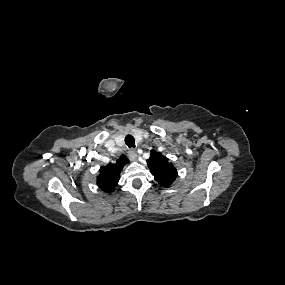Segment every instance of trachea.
<instances>
[{"label":"trachea","mask_w":285,"mask_h":285,"mask_svg":"<svg viewBox=\"0 0 285 285\" xmlns=\"http://www.w3.org/2000/svg\"><path fill=\"white\" fill-rule=\"evenodd\" d=\"M125 143L126 145L131 148V147H135V139L132 135H127L125 137Z\"/></svg>","instance_id":"3493384b"}]
</instances>
